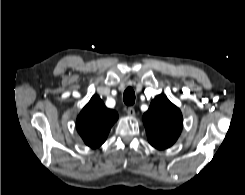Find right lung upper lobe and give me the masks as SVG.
Returning a JSON list of instances; mask_svg holds the SVG:
<instances>
[{"instance_id":"1","label":"right lung upper lobe","mask_w":245,"mask_h":195,"mask_svg":"<svg viewBox=\"0 0 245 195\" xmlns=\"http://www.w3.org/2000/svg\"><path fill=\"white\" fill-rule=\"evenodd\" d=\"M117 119V112L106 108L100 97L94 95L80 112L76 127L85 144L97 148L105 142Z\"/></svg>"}]
</instances>
